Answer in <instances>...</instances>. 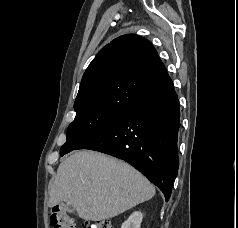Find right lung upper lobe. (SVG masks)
Instances as JSON below:
<instances>
[{
    "mask_svg": "<svg viewBox=\"0 0 238 228\" xmlns=\"http://www.w3.org/2000/svg\"><path fill=\"white\" fill-rule=\"evenodd\" d=\"M171 87L173 82L153 45L139 35L127 34L114 39L92 60L74 109H128Z\"/></svg>",
    "mask_w": 238,
    "mask_h": 228,
    "instance_id": "cb5924a9",
    "label": "right lung upper lobe"
}]
</instances>
